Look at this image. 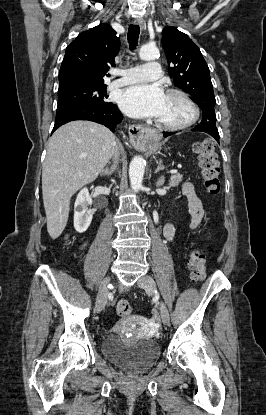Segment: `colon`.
I'll return each instance as SVG.
<instances>
[{
  "label": "colon",
  "mask_w": 266,
  "mask_h": 415,
  "mask_svg": "<svg viewBox=\"0 0 266 415\" xmlns=\"http://www.w3.org/2000/svg\"><path fill=\"white\" fill-rule=\"evenodd\" d=\"M194 152L198 157V165L200 174L203 178L207 191L215 195L220 190V168L215 153V145L211 139H205L197 142ZM189 268L191 270V279L193 281H201L205 277V256L198 250H194L189 254ZM132 307L126 300H121L117 304V313L121 317L129 316Z\"/></svg>",
  "instance_id": "obj_1"
}]
</instances>
